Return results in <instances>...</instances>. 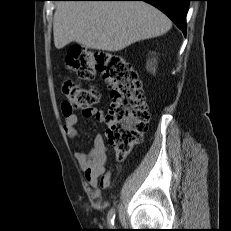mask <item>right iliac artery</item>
Instances as JSON below:
<instances>
[{
    "label": "right iliac artery",
    "mask_w": 231,
    "mask_h": 231,
    "mask_svg": "<svg viewBox=\"0 0 231 231\" xmlns=\"http://www.w3.org/2000/svg\"><path fill=\"white\" fill-rule=\"evenodd\" d=\"M114 220H115V208H112L108 212V216H107V222H108L109 227L114 226Z\"/></svg>",
    "instance_id": "1"
}]
</instances>
